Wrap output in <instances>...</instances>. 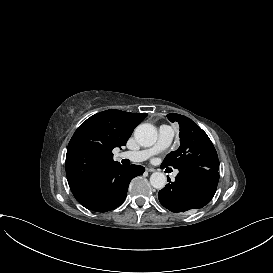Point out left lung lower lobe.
Wrapping results in <instances>:
<instances>
[{
	"instance_id": "0a47b994",
	"label": "left lung lower lobe",
	"mask_w": 273,
	"mask_h": 273,
	"mask_svg": "<svg viewBox=\"0 0 273 273\" xmlns=\"http://www.w3.org/2000/svg\"><path fill=\"white\" fill-rule=\"evenodd\" d=\"M178 170L176 180L159 191L160 203L175 213L199 209L208 204L216 192L218 171L203 167Z\"/></svg>"
}]
</instances>
